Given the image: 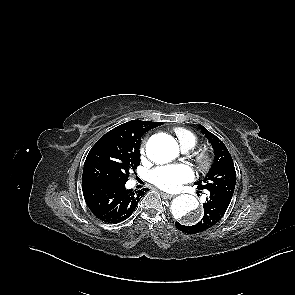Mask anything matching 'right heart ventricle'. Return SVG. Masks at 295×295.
Here are the masks:
<instances>
[{
	"instance_id": "right-heart-ventricle-1",
	"label": "right heart ventricle",
	"mask_w": 295,
	"mask_h": 295,
	"mask_svg": "<svg viewBox=\"0 0 295 295\" xmlns=\"http://www.w3.org/2000/svg\"><path fill=\"white\" fill-rule=\"evenodd\" d=\"M174 134L183 151L194 149L198 144V137L192 131L185 128H175Z\"/></svg>"
}]
</instances>
